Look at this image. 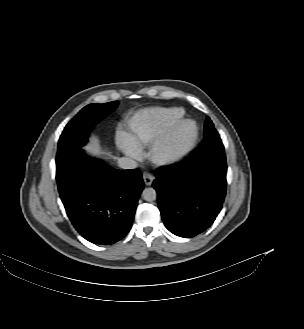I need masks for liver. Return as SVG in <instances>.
Listing matches in <instances>:
<instances>
[{
  "mask_svg": "<svg viewBox=\"0 0 304 329\" xmlns=\"http://www.w3.org/2000/svg\"><path fill=\"white\" fill-rule=\"evenodd\" d=\"M85 149L96 155L108 154L102 149L99 140L96 137L91 138V143L86 146Z\"/></svg>",
  "mask_w": 304,
  "mask_h": 329,
  "instance_id": "liver-1",
  "label": "liver"
}]
</instances>
